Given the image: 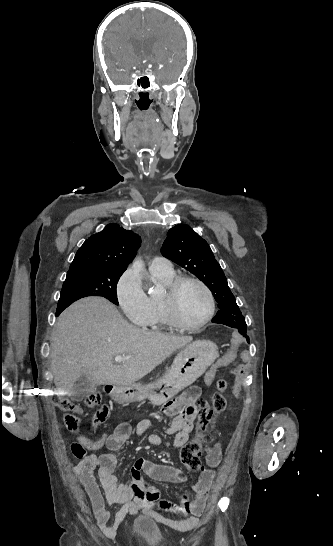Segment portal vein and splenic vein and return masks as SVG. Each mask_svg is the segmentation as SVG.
Returning <instances> with one entry per match:
<instances>
[{
	"instance_id": "portal-vein-and-splenic-vein-1",
	"label": "portal vein and splenic vein",
	"mask_w": 333,
	"mask_h": 546,
	"mask_svg": "<svg viewBox=\"0 0 333 546\" xmlns=\"http://www.w3.org/2000/svg\"><path fill=\"white\" fill-rule=\"evenodd\" d=\"M128 359H130L129 356L124 357V356H120V355H116L115 358H114L115 362H117V363L126 361Z\"/></svg>"
}]
</instances>
